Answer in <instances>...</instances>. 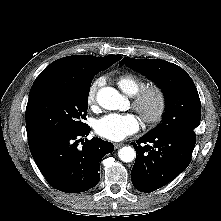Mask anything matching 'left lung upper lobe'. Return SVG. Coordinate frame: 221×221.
I'll return each mask as SVG.
<instances>
[{"label":"left lung upper lobe","instance_id":"left-lung-upper-lobe-1","mask_svg":"<svg viewBox=\"0 0 221 221\" xmlns=\"http://www.w3.org/2000/svg\"><path fill=\"white\" fill-rule=\"evenodd\" d=\"M124 63L155 81L165 95L163 121L149 134H173L196 140L194 129L200 124L201 102L188 73L181 67L161 59L125 57L119 66Z\"/></svg>","mask_w":221,"mask_h":221}]
</instances>
